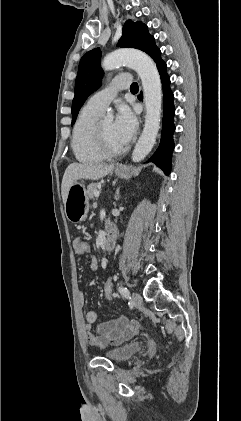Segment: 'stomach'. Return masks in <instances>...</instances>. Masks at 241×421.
<instances>
[{
  "label": "stomach",
  "mask_w": 241,
  "mask_h": 421,
  "mask_svg": "<svg viewBox=\"0 0 241 421\" xmlns=\"http://www.w3.org/2000/svg\"><path fill=\"white\" fill-rule=\"evenodd\" d=\"M115 173L120 178L131 177V170L127 166L117 167ZM65 215L70 222L79 223L87 217L89 202L86 197V189L82 183L76 182L69 188L65 203Z\"/></svg>",
  "instance_id": "obj_1"
}]
</instances>
